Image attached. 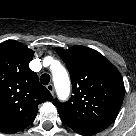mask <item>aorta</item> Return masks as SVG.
I'll list each match as a JSON object with an SVG mask.
<instances>
[{
  "instance_id": "obj_1",
  "label": "aorta",
  "mask_w": 136,
  "mask_h": 136,
  "mask_svg": "<svg viewBox=\"0 0 136 136\" xmlns=\"http://www.w3.org/2000/svg\"><path fill=\"white\" fill-rule=\"evenodd\" d=\"M56 66L51 67L54 86L58 97L66 100L70 93V80L66 69L58 62Z\"/></svg>"
}]
</instances>
